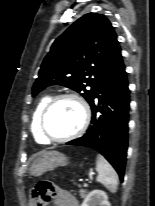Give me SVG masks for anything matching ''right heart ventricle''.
<instances>
[{"mask_svg":"<svg viewBox=\"0 0 155 206\" xmlns=\"http://www.w3.org/2000/svg\"><path fill=\"white\" fill-rule=\"evenodd\" d=\"M50 99H51L50 95L42 96L39 99L38 103L36 104V107H35L34 112H33L31 130H32V134H33L35 141L39 144H47L48 143V141H46L45 138L40 133L39 119H40V115H41L44 107L46 106V104L49 102Z\"/></svg>","mask_w":155,"mask_h":206,"instance_id":"e07e8e85","label":"right heart ventricle"}]
</instances>
